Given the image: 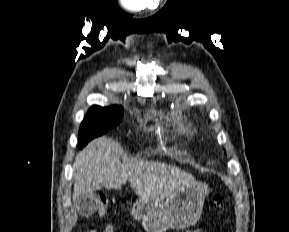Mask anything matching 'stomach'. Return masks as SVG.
Instances as JSON below:
<instances>
[{"label": "stomach", "instance_id": "1", "mask_svg": "<svg viewBox=\"0 0 289 232\" xmlns=\"http://www.w3.org/2000/svg\"><path fill=\"white\" fill-rule=\"evenodd\" d=\"M209 189L195 182L162 202L139 198L132 207V215L142 222L146 232H165L168 229L184 230L193 226L202 213Z\"/></svg>", "mask_w": 289, "mask_h": 232}]
</instances>
